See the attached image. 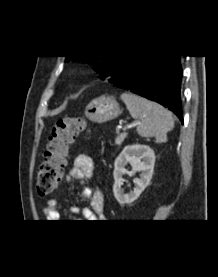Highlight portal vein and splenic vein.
Here are the masks:
<instances>
[{
    "label": "portal vein and splenic vein",
    "instance_id": "portal-vein-and-splenic-vein-1",
    "mask_svg": "<svg viewBox=\"0 0 218 277\" xmlns=\"http://www.w3.org/2000/svg\"><path fill=\"white\" fill-rule=\"evenodd\" d=\"M135 124H137V123H135ZM135 124H133V125H135ZM133 125L125 126V127L123 128V130H126V129H128V128H131Z\"/></svg>",
    "mask_w": 218,
    "mask_h": 277
}]
</instances>
